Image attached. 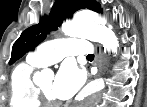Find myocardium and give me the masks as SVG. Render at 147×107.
Here are the masks:
<instances>
[{"instance_id": "myocardium-1", "label": "myocardium", "mask_w": 147, "mask_h": 107, "mask_svg": "<svg viewBox=\"0 0 147 107\" xmlns=\"http://www.w3.org/2000/svg\"><path fill=\"white\" fill-rule=\"evenodd\" d=\"M35 94L38 103L42 107H56L60 104L59 101L48 96L39 84H35Z\"/></svg>"}]
</instances>
